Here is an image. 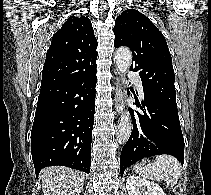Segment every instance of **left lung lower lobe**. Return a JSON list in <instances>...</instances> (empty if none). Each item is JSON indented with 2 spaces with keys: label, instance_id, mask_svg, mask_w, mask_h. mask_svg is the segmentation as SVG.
Listing matches in <instances>:
<instances>
[{
  "label": "left lung lower lobe",
  "instance_id": "1",
  "mask_svg": "<svg viewBox=\"0 0 211 195\" xmlns=\"http://www.w3.org/2000/svg\"><path fill=\"white\" fill-rule=\"evenodd\" d=\"M136 105L143 114L135 116L130 111L133 130L121 152V177L127 167L147 156L169 154L183 164L184 139L177 107L146 92Z\"/></svg>",
  "mask_w": 211,
  "mask_h": 195
}]
</instances>
